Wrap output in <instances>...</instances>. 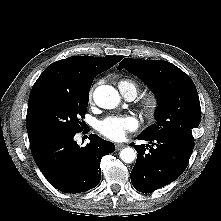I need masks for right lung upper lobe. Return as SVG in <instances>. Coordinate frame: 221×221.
Instances as JSON below:
<instances>
[{
  "mask_svg": "<svg viewBox=\"0 0 221 221\" xmlns=\"http://www.w3.org/2000/svg\"><path fill=\"white\" fill-rule=\"evenodd\" d=\"M121 56L69 57L49 65L39 76L32 91L43 87H52L68 91L90 89L94 77L114 66Z\"/></svg>",
  "mask_w": 221,
  "mask_h": 221,
  "instance_id": "1",
  "label": "right lung upper lobe"
}]
</instances>
